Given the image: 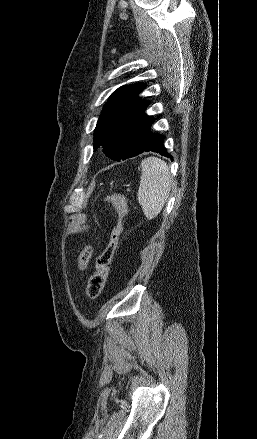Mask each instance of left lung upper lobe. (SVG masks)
I'll return each mask as SVG.
<instances>
[{
    "label": "left lung upper lobe",
    "instance_id": "obj_1",
    "mask_svg": "<svg viewBox=\"0 0 257 439\" xmlns=\"http://www.w3.org/2000/svg\"><path fill=\"white\" fill-rule=\"evenodd\" d=\"M145 87L142 83L124 85L112 93L95 128L94 151L102 146L104 154L116 161L132 152L149 119L145 114L149 101L138 97Z\"/></svg>",
    "mask_w": 257,
    "mask_h": 439
}]
</instances>
